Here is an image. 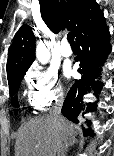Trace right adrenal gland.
<instances>
[{"label":"right adrenal gland","mask_w":114,"mask_h":156,"mask_svg":"<svg viewBox=\"0 0 114 156\" xmlns=\"http://www.w3.org/2000/svg\"><path fill=\"white\" fill-rule=\"evenodd\" d=\"M77 139L75 136H73L66 144V151L68 150L69 147L73 146L76 143Z\"/></svg>","instance_id":"right-adrenal-gland-1"}]
</instances>
